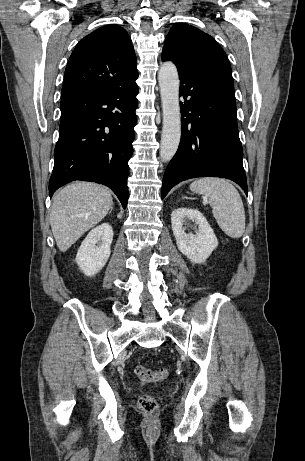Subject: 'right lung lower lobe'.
I'll list each match as a JSON object with an SVG mask.
<instances>
[{"label":"right lung lower lobe","mask_w":305,"mask_h":461,"mask_svg":"<svg viewBox=\"0 0 305 461\" xmlns=\"http://www.w3.org/2000/svg\"><path fill=\"white\" fill-rule=\"evenodd\" d=\"M137 94L134 80L107 92L61 100L50 197L71 181H92L111 188L126 208Z\"/></svg>","instance_id":"obj_1"}]
</instances>
